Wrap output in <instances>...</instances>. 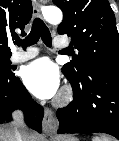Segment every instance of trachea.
Masks as SVG:
<instances>
[{
    "label": "trachea",
    "mask_w": 119,
    "mask_h": 141,
    "mask_svg": "<svg viewBox=\"0 0 119 141\" xmlns=\"http://www.w3.org/2000/svg\"><path fill=\"white\" fill-rule=\"evenodd\" d=\"M40 37L46 46L51 47V34L49 29L40 18H36L33 21L30 34L24 40H17L16 44L25 48L36 44ZM64 51L65 50H62V52Z\"/></svg>",
    "instance_id": "obj_1"
}]
</instances>
